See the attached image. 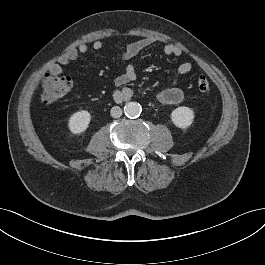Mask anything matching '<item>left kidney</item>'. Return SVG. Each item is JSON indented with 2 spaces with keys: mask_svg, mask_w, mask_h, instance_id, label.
I'll list each match as a JSON object with an SVG mask.
<instances>
[{
  "mask_svg": "<svg viewBox=\"0 0 265 265\" xmlns=\"http://www.w3.org/2000/svg\"><path fill=\"white\" fill-rule=\"evenodd\" d=\"M194 116L191 108L181 106L172 111L171 120L176 127L186 129L193 123Z\"/></svg>",
  "mask_w": 265,
  "mask_h": 265,
  "instance_id": "5707ae66",
  "label": "left kidney"
}]
</instances>
